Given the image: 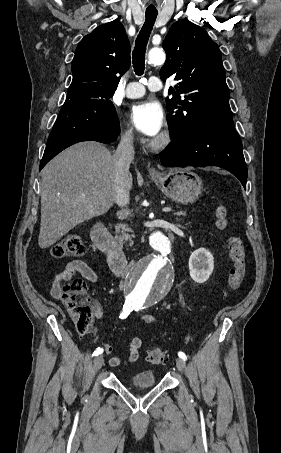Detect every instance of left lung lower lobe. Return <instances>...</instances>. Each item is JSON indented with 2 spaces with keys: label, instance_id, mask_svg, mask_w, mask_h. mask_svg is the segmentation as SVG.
Returning <instances> with one entry per match:
<instances>
[{
  "label": "left lung lower lobe",
  "instance_id": "obj_1",
  "mask_svg": "<svg viewBox=\"0 0 281 453\" xmlns=\"http://www.w3.org/2000/svg\"><path fill=\"white\" fill-rule=\"evenodd\" d=\"M159 156L161 164L168 167L224 168L234 174L246 189L247 166L233 121L207 126L177 138Z\"/></svg>",
  "mask_w": 281,
  "mask_h": 453
}]
</instances>
